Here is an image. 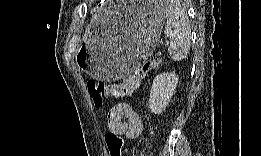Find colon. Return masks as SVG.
I'll return each mask as SVG.
<instances>
[{"label":"colon","mask_w":261,"mask_h":156,"mask_svg":"<svg viewBox=\"0 0 261 156\" xmlns=\"http://www.w3.org/2000/svg\"><path fill=\"white\" fill-rule=\"evenodd\" d=\"M159 62L149 60L138 66L124 81L120 83H105L102 81L90 80L87 88L96 107H101L104 98L108 96H126L131 95L139 86L145 75L156 68ZM105 143L109 156H121L125 146V140L116 134L108 133L105 137Z\"/></svg>","instance_id":"obj_1"}]
</instances>
